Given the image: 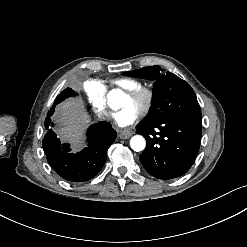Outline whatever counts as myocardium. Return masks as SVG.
<instances>
[{
  "mask_svg": "<svg viewBox=\"0 0 247 247\" xmlns=\"http://www.w3.org/2000/svg\"><path fill=\"white\" fill-rule=\"evenodd\" d=\"M130 98L135 102H142L141 109L143 113H148L153 105L154 94L148 88H138L130 93Z\"/></svg>",
  "mask_w": 247,
  "mask_h": 247,
  "instance_id": "1",
  "label": "myocardium"
}]
</instances>
